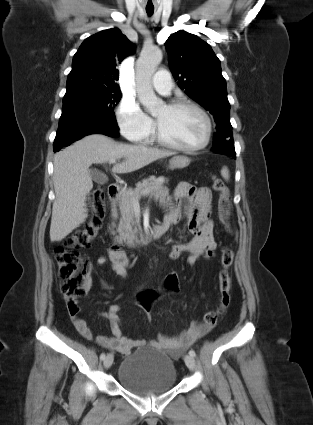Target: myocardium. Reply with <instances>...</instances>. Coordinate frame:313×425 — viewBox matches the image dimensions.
<instances>
[{"mask_svg": "<svg viewBox=\"0 0 313 425\" xmlns=\"http://www.w3.org/2000/svg\"><path fill=\"white\" fill-rule=\"evenodd\" d=\"M166 107L171 110L189 108L198 112L202 116L205 122V136L202 142L198 144L197 146H194V147L180 146L165 139L163 135L161 134L156 122L154 127V139L156 140V142L160 144L161 146H164L168 149H172V150L183 152V153H189V154L199 152L203 150L204 148H206L211 140L212 131H213L212 120L209 114L200 105L191 101H186V100L171 102L167 104Z\"/></svg>", "mask_w": 313, "mask_h": 425, "instance_id": "f54148a6", "label": "myocardium"}]
</instances>
